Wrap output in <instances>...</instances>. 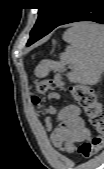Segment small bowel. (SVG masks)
<instances>
[{
  "label": "small bowel",
  "instance_id": "c3829d8e",
  "mask_svg": "<svg viewBox=\"0 0 104 169\" xmlns=\"http://www.w3.org/2000/svg\"><path fill=\"white\" fill-rule=\"evenodd\" d=\"M59 124L52 133V141L55 146L71 153L74 144L87 142L91 133L86 127L85 121L81 116L80 109L75 105L65 107L59 114Z\"/></svg>",
  "mask_w": 104,
  "mask_h": 169
}]
</instances>
